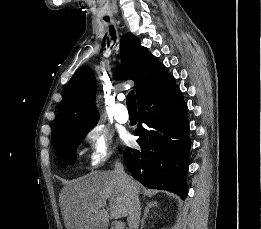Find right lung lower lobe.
Instances as JSON below:
<instances>
[{
  "instance_id": "1",
  "label": "right lung lower lobe",
  "mask_w": 261,
  "mask_h": 229,
  "mask_svg": "<svg viewBox=\"0 0 261 229\" xmlns=\"http://www.w3.org/2000/svg\"><path fill=\"white\" fill-rule=\"evenodd\" d=\"M137 105L139 125L135 135L140 136L137 143L141 148H126V167L144 186L173 192L184 200L191 142L182 92L171 76L141 97Z\"/></svg>"
}]
</instances>
